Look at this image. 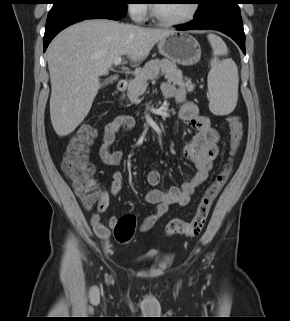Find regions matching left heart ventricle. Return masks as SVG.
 <instances>
[{"label": "left heart ventricle", "mask_w": 290, "mask_h": 321, "mask_svg": "<svg viewBox=\"0 0 290 321\" xmlns=\"http://www.w3.org/2000/svg\"><path fill=\"white\" fill-rule=\"evenodd\" d=\"M192 7L190 0H158L156 9L160 17L168 20H177L186 17Z\"/></svg>", "instance_id": "b2bd125f"}]
</instances>
